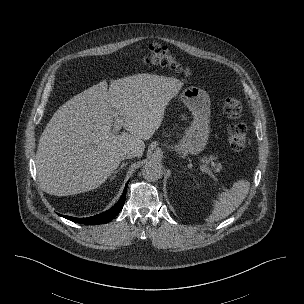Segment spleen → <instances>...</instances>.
Returning a JSON list of instances; mask_svg holds the SVG:
<instances>
[{
    "label": "spleen",
    "instance_id": "obj_1",
    "mask_svg": "<svg viewBox=\"0 0 304 304\" xmlns=\"http://www.w3.org/2000/svg\"><path fill=\"white\" fill-rule=\"evenodd\" d=\"M250 189L247 180L234 183L231 190L222 192L218 200L214 201L212 214L208 217L211 222L226 218L244 201Z\"/></svg>",
    "mask_w": 304,
    "mask_h": 304
}]
</instances>
